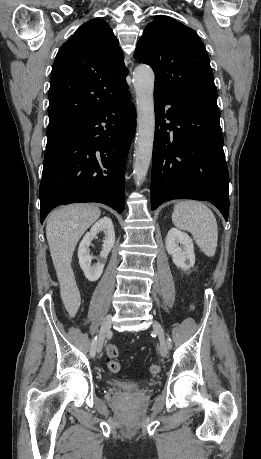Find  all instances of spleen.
Instances as JSON below:
<instances>
[{
  "label": "spleen",
  "instance_id": "spleen-1",
  "mask_svg": "<svg viewBox=\"0 0 261 459\" xmlns=\"http://www.w3.org/2000/svg\"><path fill=\"white\" fill-rule=\"evenodd\" d=\"M173 224L192 234L196 244L208 257H213L218 243L217 221L213 212L202 202L185 200L174 206Z\"/></svg>",
  "mask_w": 261,
  "mask_h": 459
}]
</instances>
